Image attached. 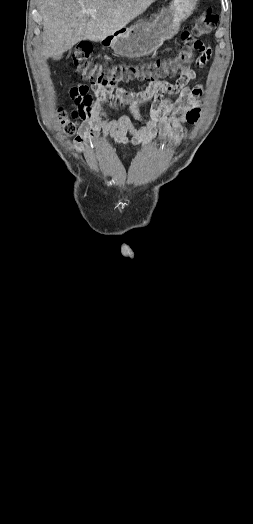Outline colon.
Here are the masks:
<instances>
[{"instance_id":"1","label":"colon","mask_w":253,"mask_h":524,"mask_svg":"<svg viewBox=\"0 0 253 524\" xmlns=\"http://www.w3.org/2000/svg\"><path fill=\"white\" fill-rule=\"evenodd\" d=\"M219 21L218 14L213 9H207L199 18H197L192 27L191 34L202 36L210 35L216 28ZM200 43H202L200 41ZM195 43L187 44L182 38V46L169 58H158L150 62H121L114 65H104L97 63L89 58L91 44L83 41L76 45L71 52V64L82 78L88 80L93 90H110L117 83L128 82L133 80L156 82L166 78L174 77L178 72H182L195 59L197 52L193 51L192 46ZM203 44V43H202ZM202 52H206L205 49ZM79 90L78 85L72 87ZM91 100L83 98L76 101L75 109L69 114L66 111H60L59 121L67 135H73L76 132V119L87 116L91 109ZM198 110H192L188 113V119L191 122L197 120Z\"/></svg>"}]
</instances>
